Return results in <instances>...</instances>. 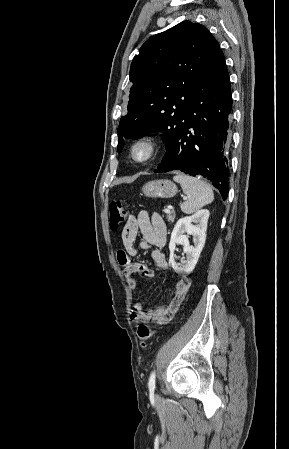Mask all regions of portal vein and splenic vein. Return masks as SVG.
Wrapping results in <instances>:
<instances>
[{"instance_id": "1", "label": "portal vein and splenic vein", "mask_w": 289, "mask_h": 449, "mask_svg": "<svg viewBox=\"0 0 289 449\" xmlns=\"http://www.w3.org/2000/svg\"><path fill=\"white\" fill-rule=\"evenodd\" d=\"M164 212H165V213H170V212H171V211H170V208H169V207H168V208H165Z\"/></svg>"}]
</instances>
